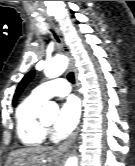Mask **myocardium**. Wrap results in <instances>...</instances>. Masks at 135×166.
Wrapping results in <instances>:
<instances>
[{
  "label": "myocardium",
  "mask_w": 135,
  "mask_h": 166,
  "mask_svg": "<svg viewBox=\"0 0 135 166\" xmlns=\"http://www.w3.org/2000/svg\"><path fill=\"white\" fill-rule=\"evenodd\" d=\"M39 123H40L42 129H43L46 133H50V132H51L50 126L47 125L46 123H44L43 119L39 118Z\"/></svg>",
  "instance_id": "obj_1"
}]
</instances>
